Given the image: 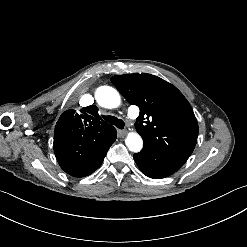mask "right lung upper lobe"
Instances as JSON below:
<instances>
[{
  "label": "right lung upper lobe",
  "instance_id": "right-lung-upper-lobe-1",
  "mask_svg": "<svg viewBox=\"0 0 247 247\" xmlns=\"http://www.w3.org/2000/svg\"><path fill=\"white\" fill-rule=\"evenodd\" d=\"M65 111L56 123L54 152L61 165L78 164L97 158L116 140V129L98 115V108L90 105L82 114Z\"/></svg>",
  "mask_w": 247,
  "mask_h": 247
}]
</instances>
